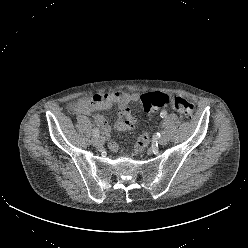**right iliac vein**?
I'll list each match as a JSON object with an SVG mask.
<instances>
[{
    "label": "right iliac vein",
    "instance_id": "obj_1",
    "mask_svg": "<svg viewBox=\"0 0 248 248\" xmlns=\"http://www.w3.org/2000/svg\"><path fill=\"white\" fill-rule=\"evenodd\" d=\"M92 142L96 147H101L103 145V139L100 136H95L92 139Z\"/></svg>",
    "mask_w": 248,
    "mask_h": 248
}]
</instances>
